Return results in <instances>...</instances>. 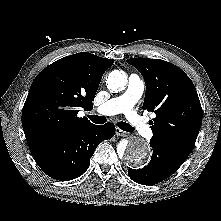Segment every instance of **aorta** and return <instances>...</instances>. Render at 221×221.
<instances>
[{"label":"aorta","instance_id":"obj_1","mask_svg":"<svg viewBox=\"0 0 221 221\" xmlns=\"http://www.w3.org/2000/svg\"><path fill=\"white\" fill-rule=\"evenodd\" d=\"M127 76L123 71L114 70L109 73L107 87L110 92L118 93L125 89ZM118 154L133 167L144 166L149 160L150 148L148 143L138 137L122 140L117 146Z\"/></svg>","mask_w":221,"mask_h":221}]
</instances>
